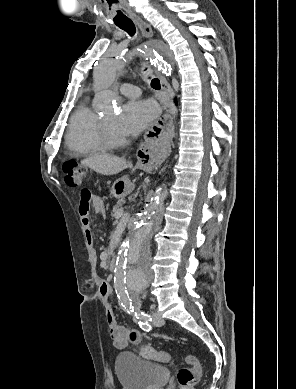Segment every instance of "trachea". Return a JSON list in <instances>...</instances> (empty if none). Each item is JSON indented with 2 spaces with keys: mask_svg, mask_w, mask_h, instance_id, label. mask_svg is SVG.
<instances>
[{
  "mask_svg": "<svg viewBox=\"0 0 296 389\" xmlns=\"http://www.w3.org/2000/svg\"><path fill=\"white\" fill-rule=\"evenodd\" d=\"M119 28L125 30L130 36H134L136 32V28L133 22H127L121 25H118ZM151 87L155 90H160V81L158 78H153L151 80Z\"/></svg>",
  "mask_w": 296,
  "mask_h": 389,
  "instance_id": "1",
  "label": "trachea"
}]
</instances>
